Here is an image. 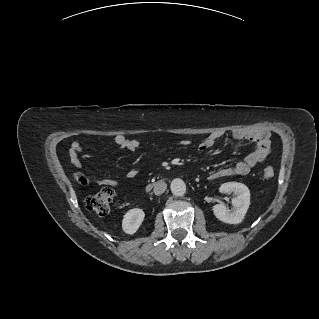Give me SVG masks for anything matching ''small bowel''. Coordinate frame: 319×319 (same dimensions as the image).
Returning <instances> with one entry per match:
<instances>
[{
	"label": "small bowel",
	"mask_w": 319,
	"mask_h": 319,
	"mask_svg": "<svg viewBox=\"0 0 319 319\" xmlns=\"http://www.w3.org/2000/svg\"><path fill=\"white\" fill-rule=\"evenodd\" d=\"M232 138L236 140H251L254 143L253 149L246 155L243 160L236 162L232 167L219 168L212 171L208 175L209 180H217L220 178L232 176V175H246L257 164L263 162L268 155L269 149V133H245L240 130H234L231 132ZM224 134L221 132H214L208 135L203 141L198 144V150L201 153H207L218 142L222 140ZM113 143L116 147L125 149L128 151H135L140 147V142L134 139H128L123 135L115 136ZM183 146L189 145L188 140L181 142ZM82 145L78 142H74L71 146V160L74 164H82L80 153L82 151ZM136 177L135 171H130L126 174V178L134 179ZM82 179V178H81ZM96 183L101 186H117L119 180L114 178H99L96 179Z\"/></svg>",
	"instance_id": "obj_1"
}]
</instances>
